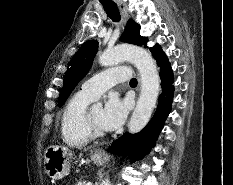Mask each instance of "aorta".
Here are the masks:
<instances>
[{
    "label": "aorta",
    "mask_w": 233,
    "mask_h": 185,
    "mask_svg": "<svg viewBox=\"0 0 233 185\" xmlns=\"http://www.w3.org/2000/svg\"><path fill=\"white\" fill-rule=\"evenodd\" d=\"M102 66H111L122 61L132 62L141 76V93L129 122V132L134 134L142 130L150 120L160 90V78L156 63L145 49L132 45H119L108 49L99 56ZM96 107H101L98 103ZM102 185H111L107 178Z\"/></svg>",
    "instance_id": "762f6f07"
}]
</instances>
